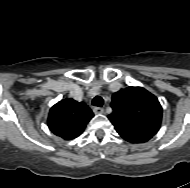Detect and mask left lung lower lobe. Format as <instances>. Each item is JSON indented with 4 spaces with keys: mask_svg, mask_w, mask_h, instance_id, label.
Returning <instances> with one entry per match:
<instances>
[{
    "mask_svg": "<svg viewBox=\"0 0 190 188\" xmlns=\"http://www.w3.org/2000/svg\"><path fill=\"white\" fill-rule=\"evenodd\" d=\"M118 134L131 143H143L152 138L150 135L138 134L124 129H116Z\"/></svg>",
    "mask_w": 190,
    "mask_h": 188,
    "instance_id": "0a47b994",
    "label": "left lung lower lobe"
}]
</instances>
